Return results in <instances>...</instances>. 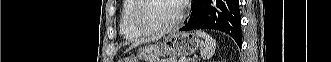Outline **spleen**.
I'll list each match as a JSON object with an SVG mask.
<instances>
[{"label":"spleen","instance_id":"3e777b00","mask_svg":"<svg viewBox=\"0 0 331 62\" xmlns=\"http://www.w3.org/2000/svg\"><path fill=\"white\" fill-rule=\"evenodd\" d=\"M196 35L205 40V42H201V57L203 59L211 58L215 53L216 41L209 34L203 31H196Z\"/></svg>","mask_w":331,"mask_h":62}]
</instances>
